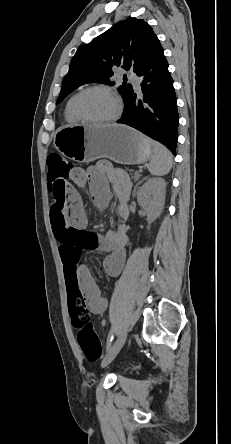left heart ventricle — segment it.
<instances>
[{"instance_id": "1", "label": "left heart ventricle", "mask_w": 231, "mask_h": 444, "mask_svg": "<svg viewBox=\"0 0 231 444\" xmlns=\"http://www.w3.org/2000/svg\"><path fill=\"white\" fill-rule=\"evenodd\" d=\"M79 110L88 119L103 120L114 114L115 104L108 94L95 90L81 97Z\"/></svg>"}]
</instances>
